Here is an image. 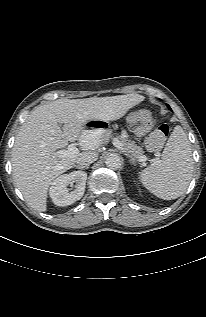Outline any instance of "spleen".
<instances>
[{
    "mask_svg": "<svg viewBox=\"0 0 206 317\" xmlns=\"http://www.w3.org/2000/svg\"><path fill=\"white\" fill-rule=\"evenodd\" d=\"M193 167L188 138L182 127L176 126L167 141L161 160L153 161L141 172V182L161 199H176L186 191Z\"/></svg>",
    "mask_w": 206,
    "mask_h": 317,
    "instance_id": "spleen-1",
    "label": "spleen"
}]
</instances>
